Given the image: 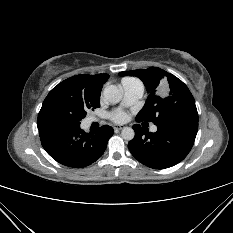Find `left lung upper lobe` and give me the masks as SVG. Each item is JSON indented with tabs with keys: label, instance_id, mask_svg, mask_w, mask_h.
<instances>
[{
	"label": "left lung upper lobe",
	"instance_id": "5c2ea615",
	"mask_svg": "<svg viewBox=\"0 0 233 233\" xmlns=\"http://www.w3.org/2000/svg\"><path fill=\"white\" fill-rule=\"evenodd\" d=\"M119 75L140 78L149 92L144 107L136 117L137 121H151L157 127L198 124L194 98L187 86L174 75L157 67L123 71Z\"/></svg>",
	"mask_w": 233,
	"mask_h": 233
}]
</instances>
